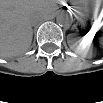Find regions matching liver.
Returning <instances> with one entry per match:
<instances>
[{"label":"liver","mask_w":103,"mask_h":103,"mask_svg":"<svg viewBox=\"0 0 103 103\" xmlns=\"http://www.w3.org/2000/svg\"><path fill=\"white\" fill-rule=\"evenodd\" d=\"M57 9L53 0L1 1V56L23 53L32 41V16H49Z\"/></svg>","instance_id":"6515ba94"}]
</instances>
